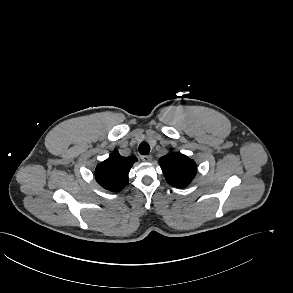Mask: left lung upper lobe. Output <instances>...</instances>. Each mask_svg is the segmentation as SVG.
Segmentation results:
<instances>
[{"mask_svg": "<svg viewBox=\"0 0 293 293\" xmlns=\"http://www.w3.org/2000/svg\"><path fill=\"white\" fill-rule=\"evenodd\" d=\"M166 181L177 188L187 187L197 173L196 163L184 154L170 152L159 160Z\"/></svg>", "mask_w": 293, "mask_h": 293, "instance_id": "left-lung-upper-lobe-1", "label": "left lung upper lobe"}]
</instances>
